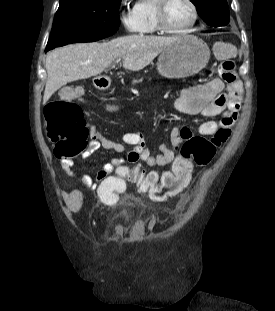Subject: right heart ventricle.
<instances>
[{"label":"right heart ventricle","mask_w":275,"mask_h":311,"mask_svg":"<svg viewBox=\"0 0 275 311\" xmlns=\"http://www.w3.org/2000/svg\"><path fill=\"white\" fill-rule=\"evenodd\" d=\"M157 0H137L133 7V13L139 20V33L153 35L159 32L157 28L155 7Z\"/></svg>","instance_id":"1"}]
</instances>
